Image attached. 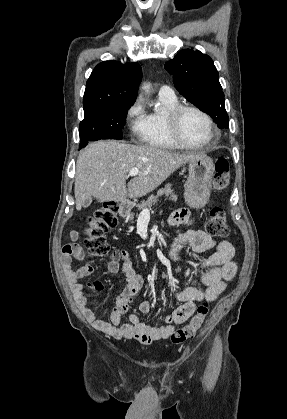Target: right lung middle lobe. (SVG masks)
<instances>
[{
	"instance_id": "obj_1",
	"label": "right lung middle lobe",
	"mask_w": 287,
	"mask_h": 419,
	"mask_svg": "<svg viewBox=\"0 0 287 419\" xmlns=\"http://www.w3.org/2000/svg\"><path fill=\"white\" fill-rule=\"evenodd\" d=\"M131 105L108 106L84 113V120L80 122L79 126V147H85L88 141L122 139V128L125 126L127 110Z\"/></svg>"
}]
</instances>
